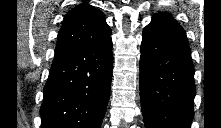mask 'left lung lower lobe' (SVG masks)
I'll return each mask as SVG.
<instances>
[{
  "mask_svg": "<svg viewBox=\"0 0 221 128\" xmlns=\"http://www.w3.org/2000/svg\"><path fill=\"white\" fill-rule=\"evenodd\" d=\"M140 99L146 128H190L194 117V67L184 29L156 14L143 30Z\"/></svg>",
  "mask_w": 221,
  "mask_h": 128,
  "instance_id": "left-lung-lower-lobe-1",
  "label": "left lung lower lobe"
}]
</instances>
